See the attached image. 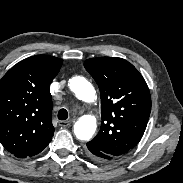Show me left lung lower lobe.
Wrapping results in <instances>:
<instances>
[{"label":"left lung lower lobe","instance_id":"1","mask_svg":"<svg viewBox=\"0 0 183 183\" xmlns=\"http://www.w3.org/2000/svg\"><path fill=\"white\" fill-rule=\"evenodd\" d=\"M86 151L92 159L99 161V162H107L109 160L116 158V157L105 154V153L98 151V150H96L92 147H89V146L87 147Z\"/></svg>","mask_w":183,"mask_h":183}]
</instances>
